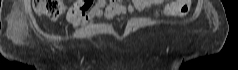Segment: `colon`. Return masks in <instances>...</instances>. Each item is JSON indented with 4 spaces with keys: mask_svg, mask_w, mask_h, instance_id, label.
<instances>
[{
    "mask_svg": "<svg viewBox=\"0 0 238 70\" xmlns=\"http://www.w3.org/2000/svg\"><path fill=\"white\" fill-rule=\"evenodd\" d=\"M176 3H178V7L175 9L174 16H183L189 10L191 1L176 0ZM33 5L38 15L45 16L52 21L56 20L64 11L62 0H34Z\"/></svg>",
    "mask_w": 238,
    "mask_h": 70,
    "instance_id": "obj_1",
    "label": "colon"
}]
</instances>
